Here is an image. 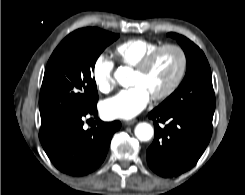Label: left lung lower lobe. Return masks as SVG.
I'll list each match as a JSON object with an SVG mask.
<instances>
[{"mask_svg":"<svg viewBox=\"0 0 245 195\" xmlns=\"http://www.w3.org/2000/svg\"><path fill=\"white\" fill-rule=\"evenodd\" d=\"M214 112L175 108L153 109L155 138L147 150L150 168L162 177H173L191 169L206 149L212 135ZM160 127L159 123H165Z\"/></svg>","mask_w":245,"mask_h":195,"instance_id":"1","label":"left lung lower lobe"}]
</instances>
